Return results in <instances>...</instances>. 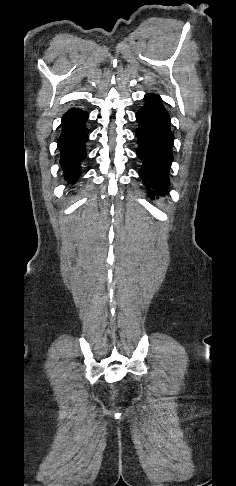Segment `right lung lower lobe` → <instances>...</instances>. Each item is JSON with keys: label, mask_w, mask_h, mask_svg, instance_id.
Here are the masks:
<instances>
[{"label": "right lung lower lobe", "mask_w": 236, "mask_h": 486, "mask_svg": "<svg viewBox=\"0 0 236 486\" xmlns=\"http://www.w3.org/2000/svg\"><path fill=\"white\" fill-rule=\"evenodd\" d=\"M87 118L88 114L78 108L69 109L62 117V133L57 144L60 150L59 162L68 183L77 181L81 173L80 164L86 157Z\"/></svg>", "instance_id": "98d812e1"}]
</instances>
